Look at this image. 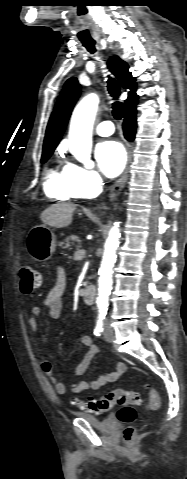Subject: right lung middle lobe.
<instances>
[{"label":"right lung middle lobe","instance_id":"dd1d6c3e","mask_svg":"<svg viewBox=\"0 0 187 479\" xmlns=\"http://www.w3.org/2000/svg\"><path fill=\"white\" fill-rule=\"evenodd\" d=\"M52 153H53V150L43 152L41 162L42 163L46 162Z\"/></svg>","mask_w":187,"mask_h":479}]
</instances>
